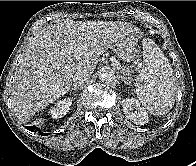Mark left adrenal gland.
<instances>
[{"label": "left adrenal gland", "mask_w": 196, "mask_h": 166, "mask_svg": "<svg viewBox=\"0 0 196 166\" xmlns=\"http://www.w3.org/2000/svg\"><path fill=\"white\" fill-rule=\"evenodd\" d=\"M120 79H121L122 81H124L125 84L129 85L128 80H126L124 76L121 75V76H120Z\"/></svg>", "instance_id": "left-adrenal-gland-1"}]
</instances>
